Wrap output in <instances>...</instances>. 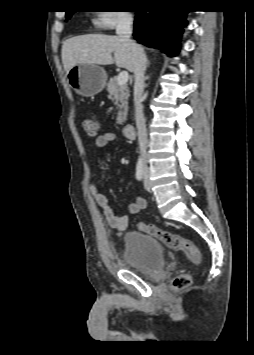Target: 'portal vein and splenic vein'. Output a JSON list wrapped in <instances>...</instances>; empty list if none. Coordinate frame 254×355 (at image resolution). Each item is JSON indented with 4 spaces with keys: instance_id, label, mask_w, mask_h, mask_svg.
<instances>
[{
    "instance_id": "18ae733b",
    "label": "portal vein and splenic vein",
    "mask_w": 254,
    "mask_h": 355,
    "mask_svg": "<svg viewBox=\"0 0 254 355\" xmlns=\"http://www.w3.org/2000/svg\"><path fill=\"white\" fill-rule=\"evenodd\" d=\"M129 74L127 71H122L117 77V82L119 85H125L128 82Z\"/></svg>"
}]
</instances>
